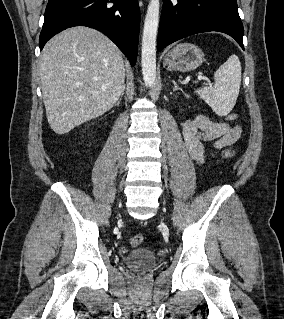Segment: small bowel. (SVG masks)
I'll return each mask as SVG.
<instances>
[{"label": "small bowel", "mask_w": 284, "mask_h": 319, "mask_svg": "<svg viewBox=\"0 0 284 319\" xmlns=\"http://www.w3.org/2000/svg\"><path fill=\"white\" fill-rule=\"evenodd\" d=\"M239 125L213 121L205 115H197L182 125L185 147L190 157L197 163H203L204 143L212 142L214 147L222 149L235 143L241 136Z\"/></svg>", "instance_id": "small-bowel-1"}]
</instances>
